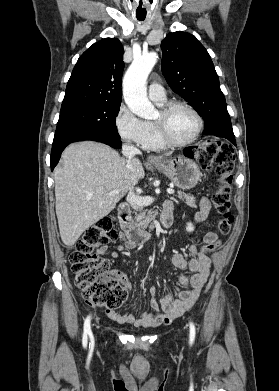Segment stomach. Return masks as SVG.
Returning <instances> with one entry per match:
<instances>
[{
  "instance_id": "1",
  "label": "stomach",
  "mask_w": 279,
  "mask_h": 391,
  "mask_svg": "<svg viewBox=\"0 0 279 391\" xmlns=\"http://www.w3.org/2000/svg\"><path fill=\"white\" fill-rule=\"evenodd\" d=\"M154 167L165 174L177 187L191 189L200 179L198 165L191 159L178 156L173 159H161Z\"/></svg>"
}]
</instances>
